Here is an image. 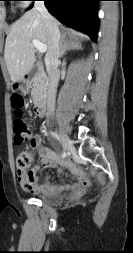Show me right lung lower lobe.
Segmentation results:
<instances>
[{"label":"right lung lower lobe","mask_w":133,"mask_h":253,"mask_svg":"<svg viewBox=\"0 0 133 253\" xmlns=\"http://www.w3.org/2000/svg\"><path fill=\"white\" fill-rule=\"evenodd\" d=\"M100 0H44L48 11L68 27L78 29L96 42L97 2Z\"/></svg>","instance_id":"right-lung-lower-lobe-1"}]
</instances>
